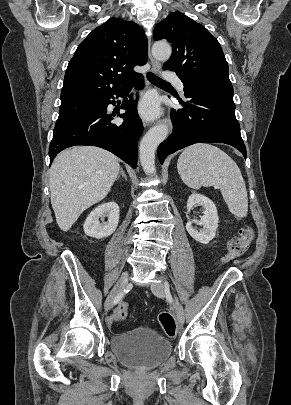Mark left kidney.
<instances>
[{
	"mask_svg": "<svg viewBox=\"0 0 291 405\" xmlns=\"http://www.w3.org/2000/svg\"><path fill=\"white\" fill-rule=\"evenodd\" d=\"M195 205H199L204 208V215L200 221L188 219L186 223V230L196 241L202 244H208L215 237L218 227L219 218L217 209L212 200L198 193H193L189 196L187 201L188 213ZM193 223L203 226V228L198 231L193 227Z\"/></svg>",
	"mask_w": 291,
	"mask_h": 405,
	"instance_id": "5707ae66",
	"label": "left kidney"
}]
</instances>
